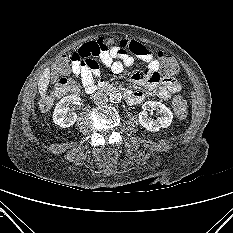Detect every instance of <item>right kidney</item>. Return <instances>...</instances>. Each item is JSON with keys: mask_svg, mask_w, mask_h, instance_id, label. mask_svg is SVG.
I'll use <instances>...</instances> for the list:
<instances>
[{"mask_svg": "<svg viewBox=\"0 0 233 233\" xmlns=\"http://www.w3.org/2000/svg\"><path fill=\"white\" fill-rule=\"evenodd\" d=\"M80 98L76 95L66 96L61 99L55 107L53 113V121L55 124L62 128H68L72 126L77 120V114L75 112H69V105L80 104Z\"/></svg>", "mask_w": 233, "mask_h": 233, "instance_id": "1", "label": "right kidney"}]
</instances>
